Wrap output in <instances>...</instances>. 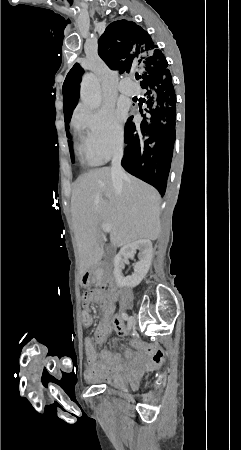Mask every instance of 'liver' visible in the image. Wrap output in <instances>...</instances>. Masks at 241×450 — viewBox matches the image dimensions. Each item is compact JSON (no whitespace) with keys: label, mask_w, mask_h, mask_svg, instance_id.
I'll use <instances>...</instances> for the list:
<instances>
[{"label":"liver","mask_w":241,"mask_h":450,"mask_svg":"<svg viewBox=\"0 0 241 450\" xmlns=\"http://www.w3.org/2000/svg\"><path fill=\"white\" fill-rule=\"evenodd\" d=\"M160 202L155 188L129 174L124 176L121 190L114 188L110 168H97L80 176L71 198L80 276L103 256L102 224L110 226L115 248L145 238L157 240L161 230Z\"/></svg>","instance_id":"6515ba94"}]
</instances>
